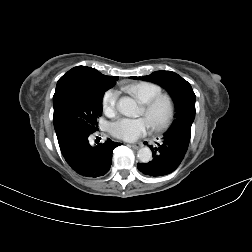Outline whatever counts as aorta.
I'll use <instances>...</instances> for the list:
<instances>
[{"instance_id": "obj_1", "label": "aorta", "mask_w": 252, "mask_h": 252, "mask_svg": "<svg viewBox=\"0 0 252 252\" xmlns=\"http://www.w3.org/2000/svg\"><path fill=\"white\" fill-rule=\"evenodd\" d=\"M119 111L127 117H136L138 115V106L134 99L130 97H122L118 102ZM137 157L140 162L148 163L152 160V152L150 148L143 147L139 149Z\"/></svg>"}]
</instances>
